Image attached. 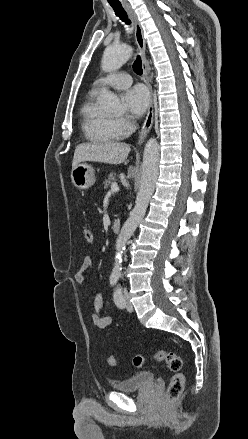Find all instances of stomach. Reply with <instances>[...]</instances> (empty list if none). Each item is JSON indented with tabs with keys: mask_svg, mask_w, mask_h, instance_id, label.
Returning <instances> with one entry per match:
<instances>
[{
	"mask_svg": "<svg viewBox=\"0 0 248 439\" xmlns=\"http://www.w3.org/2000/svg\"><path fill=\"white\" fill-rule=\"evenodd\" d=\"M71 181L78 189H88L95 183L93 167L87 163L78 164L71 171Z\"/></svg>",
	"mask_w": 248,
	"mask_h": 439,
	"instance_id": "1",
	"label": "stomach"
}]
</instances>
